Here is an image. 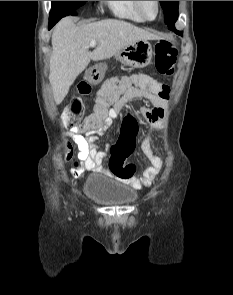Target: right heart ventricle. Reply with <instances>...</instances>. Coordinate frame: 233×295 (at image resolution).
I'll list each match as a JSON object with an SVG mask.
<instances>
[{
    "label": "right heart ventricle",
    "instance_id": "e07e8e85",
    "mask_svg": "<svg viewBox=\"0 0 233 295\" xmlns=\"http://www.w3.org/2000/svg\"><path fill=\"white\" fill-rule=\"evenodd\" d=\"M110 11L118 18L128 19L134 22H143L138 14L133 1H105Z\"/></svg>",
    "mask_w": 233,
    "mask_h": 295
}]
</instances>
